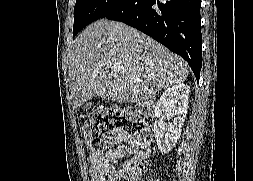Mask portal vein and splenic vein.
Segmentation results:
<instances>
[{
	"label": "portal vein and splenic vein",
	"instance_id": "obj_1",
	"mask_svg": "<svg viewBox=\"0 0 253 181\" xmlns=\"http://www.w3.org/2000/svg\"><path fill=\"white\" fill-rule=\"evenodd\" d=\"M117 68H118V70H119L120 72H123V71H124V67H123V66H118Z\"/></svg>",
	"mask_w": 253,
	"mask_h": 181
}]
</instances>
